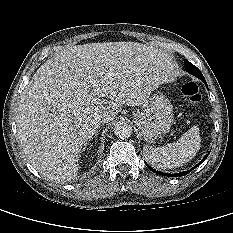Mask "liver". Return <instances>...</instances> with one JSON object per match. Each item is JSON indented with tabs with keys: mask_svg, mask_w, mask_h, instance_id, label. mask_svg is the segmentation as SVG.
<instances>
[{
	"mask_svg": "<svg viewBox=\"0 0 233 233\" xmlns=\"http://www.w3.org/2000/svg\"><path fill=\"white\" fill-rule=\"evenodd\" d=\"M173 77L166 54L135 42H104L62 50L42 64L20 96L16 116L23 151L49 180L71 181L84 146L123 105H142Z\"/></svg>",
	"mask_w": 233,
	"mask_h": 233,
	"instance_id": "obj_1",
	"label": "liver"
}]
</instances>
